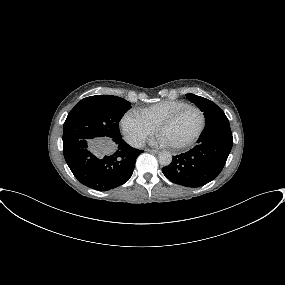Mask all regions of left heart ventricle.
I'll use <instances>...</instances> for the list:
<instances>
[{"mask_svg": "<svg viewBox=\"0 0 285 285\" xmlns=\"http://www.w3.org/2000/svg\"><path fill=\"white\" fill-rule=\"evenodd\" d=\"M200 123V115L195 109H185L170 125L160 131V135L169 145L182 144L198 131Z\"/></svg>", "mask_w": 285, "mask_h": 285, "instance_id": "left-heart-ventricle-1", "label": "left heart ventricle"}]
</instances>
